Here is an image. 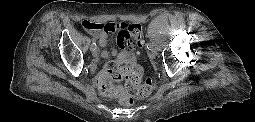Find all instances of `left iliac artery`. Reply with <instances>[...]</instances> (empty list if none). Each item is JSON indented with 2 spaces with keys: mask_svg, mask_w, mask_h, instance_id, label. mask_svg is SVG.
<instances>
[{
  "mask_svg": "<svg viewBox=\"0 0 255 122\" xmlns=\"http://www.w3.org/2000/svg\"><path fill=\"white\" fill-rule=\"evenodd\" d=\"M147 48H148L149 50H153V49H154V45H153L152 43H148V44H147Z\"/></svg>",
  "mask_w": 255,
  "mask_h": 122,
  "instance_id": "left-iliac-artery-1",
  "label": "left iliac artery"
}]
</instances>
